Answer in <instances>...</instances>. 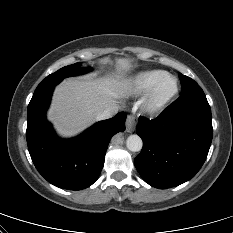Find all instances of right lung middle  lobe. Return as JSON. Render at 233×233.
<instances>
[{
    "label": "right lung middle lobe",
    "instance_id": "obj_1",
    "mask_svg": "<svg viewBox=\"0 0 233 233\" xmlns=\"http://www.w3.org/2000/svg\"><path fill=\"white\" fill-rule=\"evenodd\" d=\"M80 66V63H75L73 65L65 66L55 73L50 74L37 86L34 94L55 87L66 77L83 74L91 70L90 68H81Z\"/></svg>",
    "mask_w": 233,
    "mask_h": 233
}]
</instances>
